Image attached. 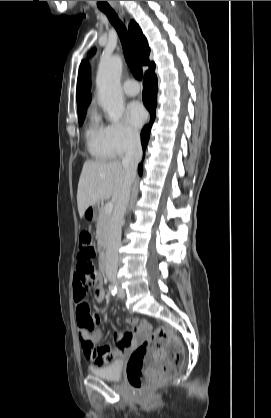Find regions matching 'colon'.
Returning <instances> with one entry per match:
<instances>
[{
    "label": "colon",
    "mask_w": 271,
    "mask_h": 418,
    "mask_svg": "<svg viewBox=\"0 0 271 418\" xmlns=\"http://www.w3.org/2000/svg\"><path fill=\"white\" fill-rule=\"evenodd\" d=\"M95 255L91 233L79 234V262H90ZM78 316V314H77ZM183 361V349L178 337L168 328L156 329L130 356L127 379L135 390L175 374Z\"/></svg>",
    "instance_id": "obj_1"
}]
</instances>
